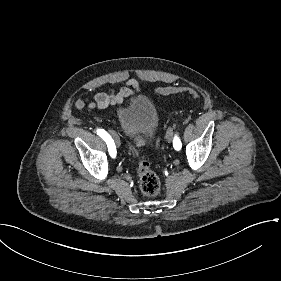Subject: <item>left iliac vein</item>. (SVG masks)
Instances as JSON below:
<instances>
[{
	"mask_svg": "<svg viewBox=\"0 0 281 281\" xmlns=\"http://www.w3.org/2000/svg\"><path fill=\"white\" fill-rule=\"evenodd\" d=\"M166 139L168 142H171L173 140V129L169 128L166 133Z\"/></svg>",
	"mask_w": 281,
	"mask_h": 281,
	"instance_id": "left-iliac-vein-1",
	"label": "left iliac vein"
}]
</instances>
